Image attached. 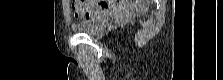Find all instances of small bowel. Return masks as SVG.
<instances>
[{
  "label": "small bowel",
  "instance_id": "1",
  "mask_svg": "<svg viewBox=\"0 0 223 80\" xmlns=\"http://www.w3.org/2000/svg\"><path fill=\"white\" fill-rule=\"evenodd\" d=\"M121 8V3L116 2L112 3L110 6L107 4H97L93 5L91 3H74L73 9L75 11L76 16L84 17L86 19H90L92 17L100 16L107 12L109 9L118 10Z\"/></svg>",
  "mask_w": 223,
  "mask_h": 80
}]
</instances>
